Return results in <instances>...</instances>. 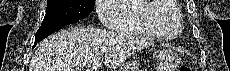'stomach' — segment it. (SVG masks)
<instances>
[{"instance_id":"0dacf381","label":"stomach","mask_w":230,"mask_h":71,"mask_svg":"<svg viewBox=\"0 0 230 71\" xmlns=\"http://www.w3.org/2000/svg\"><path fill=\"white\" fill-rule=\"evenodd\" d=\"M155 57L158 62L159 71H173L178 65L177 55L171 50H160L155 54ZM124 71H138V68L128 67Z\"/></svg>"}]
</instances>
